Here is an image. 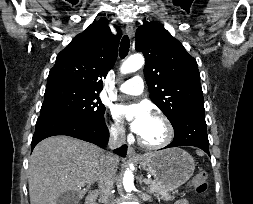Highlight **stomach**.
<instances>
[{
    "label": "stomach",
    "mask_w": 253,
    "mask_h": 204,
    "mask_svg": "<svg viewBox=\"0 0 253 204\" xmlns=\"http://www.w3.org/2000/svg\"><path fill=\"white\" fill-rule=\"evenodd\" d=\"M136 162L170 191L186 183L195 169L192 156L181 148L140 155Z\"/></svg>",
    "instance_id": "obj_1"
}]
</instances>
